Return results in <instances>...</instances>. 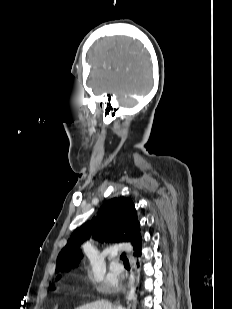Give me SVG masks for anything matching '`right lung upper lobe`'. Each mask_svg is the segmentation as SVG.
Here are the masks:
<instances>
[{
    "mask_svg": "<svg viewBox=\"0 0 232 309\" xmlns=\"http://www.w3.org/2000/svg\"><path fill=\"white\" fill-rule=\"evenodd\" d=\"M91 235L101 242L131 243L134 255L140 256V223L132 200L124 197L109 200L91 221L74 230L58 255L56 272L69 271L79 263L83 257L80 246Z\"/></svg>",
    "mask_w": 232,
    "mask_h": 309,
    "instance_id": "1",
    "label": "right lung upper lobe"
}]
</instances>
